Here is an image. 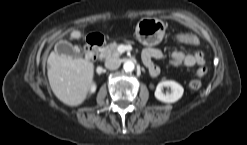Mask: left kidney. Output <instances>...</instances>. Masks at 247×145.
Segmentation results:
<instances>
[{"instance_id":"5707ae66","label":"left kidney","mask_w":247,"mask_h":145,"mask_svg":"<svg viewBox=\"0 0 247 145\" xmlns=\"http://www.w3.org/2000/svg\"><path fill=\"white\" fill-rule=\"evenodd\" d=\"M167 86L171 88V93L168 94H164L162 92V87ZM184 89L183 87L172 80H165L160 82L157 85L156 91H155V97L164 103H174L176 101H178L182 95H183Z\"/></svg>"}]
</instances>
